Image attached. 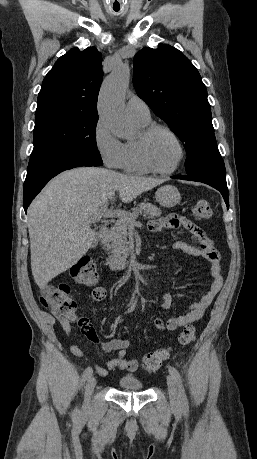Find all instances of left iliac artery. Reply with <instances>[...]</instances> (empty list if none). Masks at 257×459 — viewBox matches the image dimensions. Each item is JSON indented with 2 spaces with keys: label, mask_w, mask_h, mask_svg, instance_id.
Here are the masks:
<instances>
[{
  "label": "left iliac artery",
  "mask_w": 257,
  "mask_h": 459,
  "mask_svg": "<svg viewBox=\"0 0 257 459\" xmlns=\"http://www.w3.org/2000/svg\"><path fill=\"white\" fill-rule=\"evenodd\" d=\"M169 373L171 374V376L174 378L175 382L177 383L181 407L184 412H188L189 405H188V400H187V396L185 393L182 377L179 371L175 367H172V366L169 367Z\"/></svg>",
  "instance_id": "1"
}]
</instances>
